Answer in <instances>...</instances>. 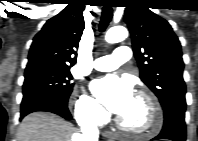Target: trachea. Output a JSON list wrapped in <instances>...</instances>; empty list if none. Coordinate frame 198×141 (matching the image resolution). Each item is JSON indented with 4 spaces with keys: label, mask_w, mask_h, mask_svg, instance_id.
I'll list each match as a JSON object with an SVG mask.
<instances>
[{
    "label": "trachea",
    "mask_w": 198,
    "mask_h": 141,
    "mask_svg": "<svg viewBox=\"0 0 198 141\" xmlns=\"http://www.w3.org/2000/svg\"><path fill=\"white\" fill-rule=\"evenodd\" d=\"M112 18V9L109 6H105L102 11L101 21L99 24V31L104 32L106 27Z\"/></svg>",
    "instance_id": "1"
}]
</instances>
